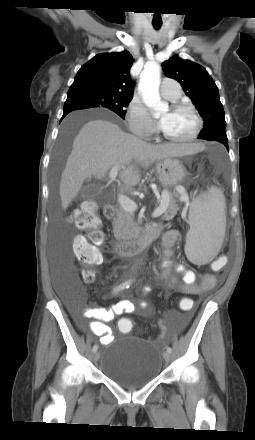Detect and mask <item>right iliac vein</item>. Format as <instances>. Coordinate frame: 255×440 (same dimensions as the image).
Segmentation results:
<instances>
[{"label": "right iliac vein", "instance_id": "63e3f726", "mask_svg": "<svg viewBox=\"0 0 255 440\" xmlns=\"http://www.w3.org/2000/svg\"><path fill=\"white\" fill-rule=\"evenodd\" d=\"M99 360V353L98 352H94L93 353V361L97 362Z\"/></svg>", "mask_w": 255, "mask_h": 440}]
</instances>
